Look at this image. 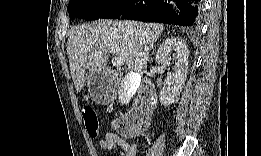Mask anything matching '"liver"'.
I'll use <instances>...</instances> for the list:
<instances>
[{"label": "liver", "mask_w": 261, "mask_h": 156, "mask_svg": "<svg viewBox=\"0 0 261 156\" xmlns=\"http://www.w3.org/2000/svg\"><path fill=\"white\" fill-rule=\"evenodd\" d=\"M160 24L137 21L98 20L76 26L67 42L72 79L77 92L84 87L85 71L113 73L107 67V53L123 58L133 73L147 69L148 54L162 35Z\"/></svg>", "instance_id": "1"}]
</instances>
